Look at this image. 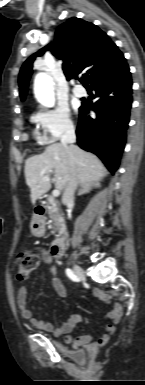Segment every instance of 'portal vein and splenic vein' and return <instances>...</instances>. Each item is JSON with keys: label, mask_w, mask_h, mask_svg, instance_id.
<instances>
[{"label": "portal vein and splenic vein", "mask_w": 145, "mask_h": 385, "mask_svg": "<svg viewBox=\"0 0 145 385\" xmlns=\"http://www.w3.org/2000/svg\"><path fill=\"white\" fill-rule=\"evenodd\" d=\"M46 179L49 180V177H46ZM59 194H60V191H59L58 189H55V190H53V192H52V195H53L54 197L59 196Z\"/></svg>", "instance_id": "portal-vein-and-splenic-vein-1"}]
</instances>
